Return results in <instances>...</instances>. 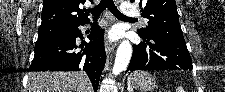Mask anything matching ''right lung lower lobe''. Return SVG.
Here are the masks:
<instances>
[{"mask_svg":"<svg viewBox=\"0 0 225 92\" xmlns=\"http://www.w3.org/2000/svg\"><path fill=\"white\" fill-rule=\"evenodd\" d=\"M87 24V23H85ZM84 25V24H82ZM79 26V25H78ZM78 26L73 27L71 32L61 39L48 40L36 43L34 59L29 71H77L87 73L94 91H97L101 72L104 69L106 53L104 49V30L97 24L92 27L88 36L90 42L81 45L84 47L77 51L75 40L82 38Z\"/></svg>","mask_w":225,"mask_h":92,"instance_id":"right-lung-lower-lobe-1","label":"right lung lower lobe"}]
</instances>
